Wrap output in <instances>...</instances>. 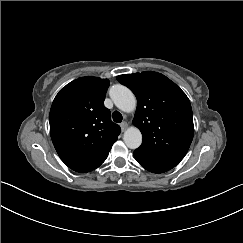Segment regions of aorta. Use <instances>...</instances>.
I'll return each instance as SVG.
<instances>
[{
  "label": "aorta",
  "instance_id": "aorta-1",
  "mask_svg": "<svg viewBox=\"0 0 243 243\" xmlns=\"http://www.w3.org/2000/svg\"><path fill=\"white\" fill-rule=\"evenodd\" d=\"M109 93L115 106L122 112L129 114L136 110V97L127 87L122 85H113ZM123 139L127 147L135 149L142 143V133L138 127L129 126L124 131Z\"/></svg>",
  "mask_w": 243,
  "mask_h": 243
}]
</instances>
